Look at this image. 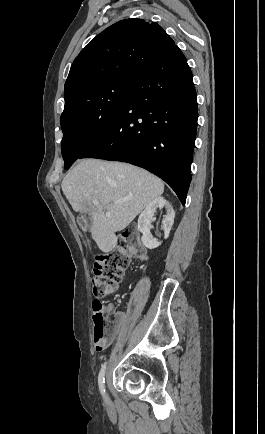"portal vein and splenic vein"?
<instances>
[{
  "label": "portal vein and splenic vein",
  "instance_id": "portal-vein-and-splenic-vein-1",
  "mask_svg": "<svg viewBox=\"0 0 265 434\" xmlns=\"http://www.w3.org/2000/svg\"><path fill=\"white\" fill-rule=\"evenodd\" d=\"M132 198H120V200H114L113 204H122V202H129ZM93 206H98V200H92Z\"/></svg>",
  "mask_w": 265,
  "mask_h": 434
}]
</instances>
